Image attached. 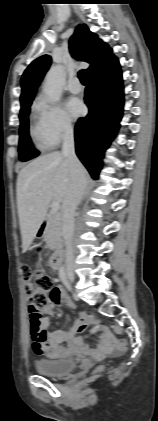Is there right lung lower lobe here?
<instances>
[{
    "mask_svg": "<svg viewBox=\"0 0 158 421\" xmlns=\"http://www.w3.org/2000/svg\"><path fill=\"white\" fill-rule=\"evenodd\" d=\"M89 114L75 126L76 153L94 179L102 168L105 150L116 135L123 112V84L118 59L113 56L89 75L85 90Z\"/></svg>",
    "mask_w": 158,
    "mask_h": 421,
    "instance_id": "obj_1",
    "label": "right lung lower lobe"
}]
</instances>
